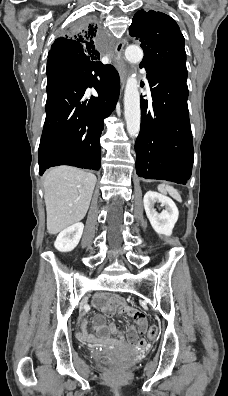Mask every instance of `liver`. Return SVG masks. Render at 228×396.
Returning a JSON list of instances; mask_svg holds the SVG:
<instances>
[{"mask_svg":"<svg viewBox=\"0 0 228 396\" xmlns=\"http://www.w3.org/2000/svg\"><path fill=\"white\" fill-rule=\"evenodd\" d=\"M96 180L94 174L71 166L46 172L43 185L50 234H57L85 217Z\"/></svg>","mask_w":228,"mask_h":396,"instance_id":"6515ba94","label":"liver"}]
</instances>
